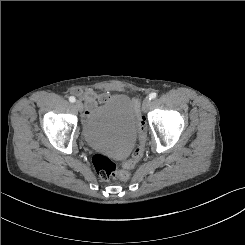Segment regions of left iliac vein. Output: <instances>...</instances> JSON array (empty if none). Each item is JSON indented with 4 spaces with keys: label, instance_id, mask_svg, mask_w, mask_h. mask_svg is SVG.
<instances>
[{
    "label": "left iliac vein",
    "instance_id": "4c4485c4",
    "mask_svg": "<svg viewBox=\"0 0 245 245\" xmlns=\"http://www.w3.org/2000/svg\"><path fill=\"white\" fill-rule=\"evenodd\" d=\"M150 107V99L149 97H146L143 101V109L144 111L148 110V108Z\"/></svg>",
    "mask_w": 245,
    "mask_h": 245
}]
</instances>
